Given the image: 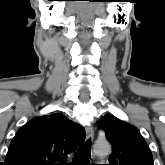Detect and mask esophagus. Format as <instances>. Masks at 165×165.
<instances>
[{
    "label": "esophagus",
    "mask_w": 165,
    "mask_h": 165,
    "mask_svg": "<svg viewBox=\"0 0 165 165\" xmlns=\"http://www.w3.org/2000/svg\"><path fill=\"white\" fill-rule=\"evenodd\" d=\"M85 132H86L87 139L94 137V130H93V127L91 125H87L85 127Z\"/></svg>",
    "instance_id": "34e87169"
}]
</instances>
